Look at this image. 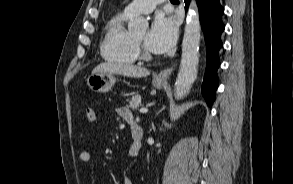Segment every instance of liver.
<instances>
[{
    "instance_id": "liver-1",
    "label": "liver",
    "mask_w": 293,
    "mask_h": 184,
    "mask_svg": "<svg viewBox=\"0 0 293 184\" xmlns=\"http://www.w3.org/2000/svg\"><path fill=\"white\" fill-rule=\"evenodd\" d=\"M93 72H110L113 74H119L135 78L146 77L150 74V71H148L147 69L136 65L113 62L101 63L93 69Z\"/></svg>"
}]
</instances>
